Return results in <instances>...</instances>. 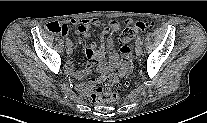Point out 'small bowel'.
<instances>
[{
	"label": "small bowel",
	"instance_id": "obj_1",
	"mask_svg": "<svg viewBox=\"0 0 207 123\" xmlns=\"http://www.w3.org/2000/svg\"><path fill=\"white\" fill-rule=\"evenodd\" d=\"M94 20H80L73 19L61 22V35L67 36L69 28L71 25L78 26V34L80 35V43H84L85 39L89 36V31L91 24ZM121 27V22L117 20H112L108 23L105 28L103 35L101 37L102 45L98 47L96 44H91L88 47H85L87 57L89 62L84 70L73 71L72 64L67 63V70L70 74L81 82L77 84L76 88L80 94L88 96L92 90L91 82H83V80L91 75L92 67L95 63L103 65L106 52L108 53L109 65L112 70H118L121 73H125L131 68V59L129 50L126 53H123V60L119 62L118 53L114 47L113 40L111 37V32L119 30ZM102 73L106 71V68L102 67Z\"/></svg>",
	"mask_w": 207,
	"mask_h": 123
}]
</instances>
